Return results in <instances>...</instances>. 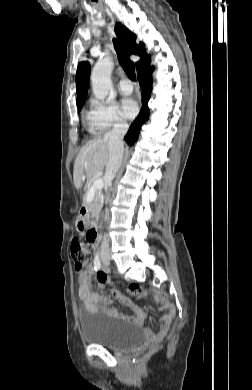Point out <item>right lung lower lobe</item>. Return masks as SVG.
<instances>
[{"mask_svg": "<svg viewBox=\"0 0 252 390\" xmlns=\"http://www.w3.org/2000/svg\"><path fill=\"white\" fill-rule=\"evenodd\" d=\"M151 74L152 68L150 66L143 68L139 73H137L142 90V107L139 115L131 124L127 134L124 137L125 141L129 145H133L138 140L141 126L144 125L145 122L149 119L148 101L150 99V93L152 90Z\"/></svg>", "mask_w": 252, "mask_h": 390, "instance_id": "98d812e1", "label": "right lung lower lobe"}]
</instances>
